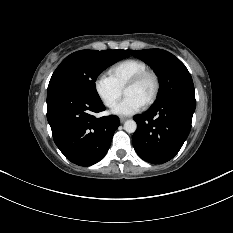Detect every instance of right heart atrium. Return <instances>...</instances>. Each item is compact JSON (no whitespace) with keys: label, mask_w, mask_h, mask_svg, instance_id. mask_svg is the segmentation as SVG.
I'll use <instances>...</instances> for the list:
<instances>
[{"label":"right heart atrium","mask_w":233,"mask_h":233,"mask_svg":"<svg viewBox=\"0 0 233 233\" xmlns=\"http://www.w3.org/2000/svg\"><path fill=\"white\" fill-rule=\"evenodd\" d=\"M93 86L100 101L108 108L114 107L122 95V89L106 74H99Z\"/></svg>","instance_id":"obj_1"}]
</instances>
